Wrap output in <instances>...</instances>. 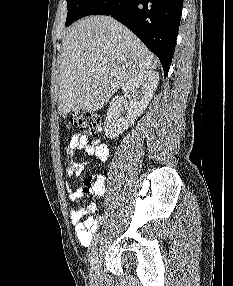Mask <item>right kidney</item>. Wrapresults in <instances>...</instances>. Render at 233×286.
Here are the masks:
<instances>
[{"label": "right kidney", "instance_id": "obj_1", "mask_svg": "<svg viewBox=\"0 0 233 286\" xmlns=\"http://www.w3.org/2000/svg\"><path fill=\"white\" fill-rule=\"evenodd\" d=\"M159 74L155 71L140 72L131 77L122 87L123 96H115L110 102L104 123L105 135L114 139L132 125L148 106L158 86ZM137 89H140L139 91ZM124 99H129L127 117H120Z\"/></svg>", "mask_w": 233, "mask_h": 286}]
</instances>
